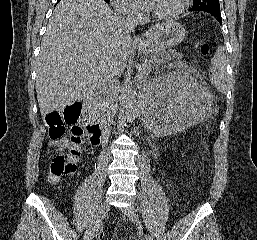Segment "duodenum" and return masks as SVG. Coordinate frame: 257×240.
Here are the masks:
<instances>
[{
  "label": "duodenum",
  "mask_w": 257,
  "mask_h": 240,
  "mask_svg": "<svg viewBox=\"0 0 257 240\" xmlns=\"http://www.w3.org/2000/svg\"><path fill=\"white\" fill-rule=\"evenodd\" d=\"M97 96L94 93H88L83 99V115L85 121L86 131L89 135L90 142L94 146H99L109 134L106 126H101L95 120V107Z\"/></svg>",
  "instance_id": "1"
}]
</instances>
